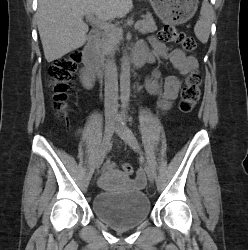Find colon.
Returning <instances> with one entry per match:
<instances>
[{"label":"colon","mask_w":248,"mask_h":250,"mask_svg":"<svg viewBox=\"0 0 248 250\" xmlns=\"http://www.w3.org/2000/svg\"><path fill=\"white\" fill-rule=\"evenodd\" d=\"M160 37L164 41L180 44L188 52H194L197 48L193 37L171 24L163 26ZM80 62V52L72 51L66 57L60 58L49 66L47 70L52 90L53 107L59 117H64L67 111L69 93L73 87ZM200 85L201 75L199 71L191 72L181 90L179 108L183 113H190L195 108L200 98ZM121 169L126 176H131L134 172L133 166L128 163H123Z\"/></svg>","instance_id":"obj_1"}]
</instances>
